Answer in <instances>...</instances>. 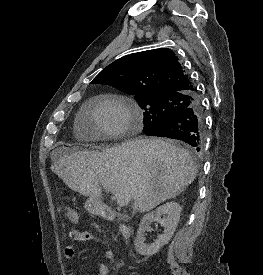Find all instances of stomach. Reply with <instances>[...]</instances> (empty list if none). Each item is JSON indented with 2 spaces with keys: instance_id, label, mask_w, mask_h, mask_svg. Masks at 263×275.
<instances>
[{
  "instance_id": "stomach-1",
  "label": "stomach",
  "mask_w": 263,
  "mask_h": 275,
  "mask_svg": "<svg viewBox=\"0 0 263 275\" xmlns=\"http://www.w3.org/2000/svg\"><path fill=\"white\" fill-rule=\"evenodd\" d=\"M85 208L91 214H99L102 209V205L98 199L90 198L86 201Z\"/></svg>"
}]
</instances>
